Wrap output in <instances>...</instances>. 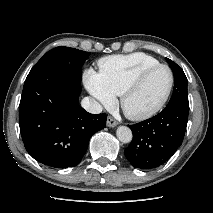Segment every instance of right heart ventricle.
Segmentation results:
<instances>
[{
	"instance_id": "e07e8e85",
	"label": "right heart ventricle",
	"mask_w": 213,
	"mask_h": 213,
	"mask_svg": "<svg viewBox=\"0 0 213 213\" xmlns=\"http://www.w3.org/2000/svg\"><path fill=\"white\" fill-rule=\"evenodd\" d=\"M159 62L144 53L113 55L99 60L100 75L106 88L114 95H120L124 87L143 69Z\"/></svg>"
}]
</instances>
